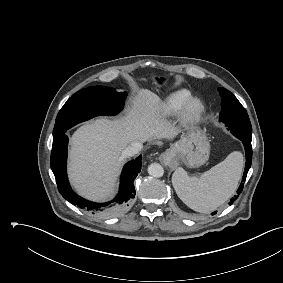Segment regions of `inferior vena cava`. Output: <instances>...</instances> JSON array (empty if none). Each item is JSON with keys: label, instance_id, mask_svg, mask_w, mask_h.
Segmentation results:
<instances>
[{"label": "inferior vena cava", "instance_id": "obj_1", "mask_svg": "<svg viewBox=\"0 0 283 283\" xmlns=\"http://www.w3.org/2000/svg\"><path fill=\"white\" fill-rule=\"evenodd\" d=\"M142 150V144L133 142L122 151V157H131L138 154Z\"/></svg>", "mask_w": 283, "mask_h": 283}]
</instances>
